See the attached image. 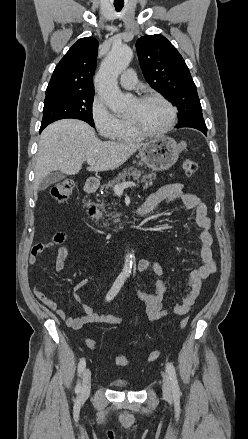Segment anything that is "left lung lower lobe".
I'll use <instances>...</instances> for the list:
<instances>
[{
  "label": "left lung lower lobe",
  "instance_id": "left-lung-lower-lobe-1",
  "mask_svg": "<svg viewBox=\"0 0 248 439\" xmlns=\"http://www.w3.org/2000/svg\"><path fill=\"white\" fill-rule=\"evenodd\" d=\"M198 130L202 131L205 135H207V128H204V129H198Z\"/></svg>",
  "mask_w": 248,
  "mask_h": 439
}]
</instances>
